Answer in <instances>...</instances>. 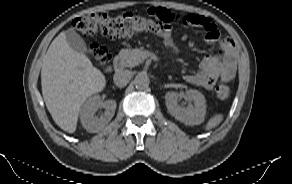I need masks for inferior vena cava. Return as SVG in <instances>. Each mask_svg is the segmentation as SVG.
<instances>
[{
    "label": "inferior vena cava",
    "mask_w": 292,
    "mask_h": 184,
    "mask_svg": "<svg viewBox=\"0 0 292 184\" xmlns=\"http://www.w3.org/2000/svg\"><path fill=\"white\" fill-rule=\"evenodd\" d=\"M131 78L132 73L129 70H122L114 74L113 80L116 86L124 87L129 83Z\"/></svg>",
    "instance_id": "inferior-vena-cava-1"
}]
</instances>
